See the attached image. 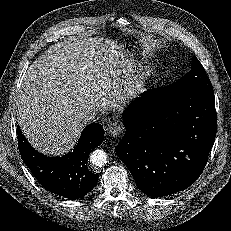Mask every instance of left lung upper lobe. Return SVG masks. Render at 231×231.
I'll list each match as a JSON object with an SVG mask.
<instances>
[{"instance_id":"5c2ea615","label":"left lung upper lobe","mask_w":231,"mask_h":231,"mask_svg":"<svg viewBox=\"0 0 231 231\" xmlns=\"http://www.w3.org/2000/svg\"><path fill=\"white\" fill-rule=\"evenodd\" d=\"M195 90L213 91L212 84L205 73L204 67L195 56L191 70L185 76L173 84L155 89L159 97Z\"/></svg>"}]
</instances>
